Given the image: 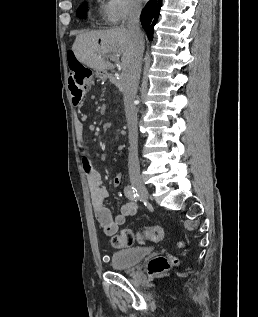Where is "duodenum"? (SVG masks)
<instances>
[{
    "mask_svg": "<svg viewBox=\"0 0 258 317\" xmlns=\"http://www.w3.org/2000/svg\"><path fill=\"white\" fill-rule=\"evenodd\" d=\"M68 89L74 105L80 104L87 92L84 84L73 74H70L68 78Z\"/></svg>",
    "mask_w": 258,
    "mask_h": 317,
    "instance_id": "duodenum-1",
    "label": "duodenum"
}]
</instances>
